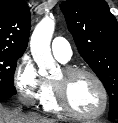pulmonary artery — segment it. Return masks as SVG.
<instances>
[{"label": "pulmonary artery", "mask_w": 118, "mask_h": 123, "mask_svg": "<svg viewBox=\"0 0 118 123\" xmlns=\"http://www.w3.org/2000/svg\"><path fill=\"white\" fill-rule=\"evenodd\" d=\"M51 51L53 55L62 63L68 62L72 57V49L70 44L61 37H56L51 43Z\"/></svg>", "instance_id": "1"}]
</instances>
